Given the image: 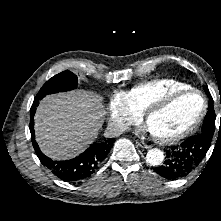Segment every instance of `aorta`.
Here are the masks:
<instances>
[{
  "instance_id": "obj_1",
  "label": "aorta",
  "mask_w": 221,
  "mask_h": 221,
  "mask_svg": "<svg viewBox=\"0 0 221 221\" xmlns=\"http://www.w3.org/2000/svg\"><path fill=\"white\" fill-rule=\"evenodd\" d=\"M146 160L150 165L157 166L163 162L164 154L160 149L153 148L147 152Z\"/></svg>"
}]
</instances>
